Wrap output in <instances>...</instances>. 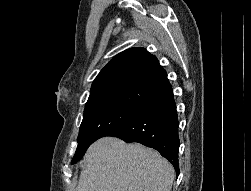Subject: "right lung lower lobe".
Returning <instances> with one entry per match:
<instances>
[{"instance_id":"obj_1","label":"right lung lower lobe","mask_w":251,"mask_h":191,"mask_svg":"<svg viewBox=\"0 0 251 191\" xmlns=\"http://www.w3.org/2000/svg\"><path fill=\"white\" fill-rule=\"evenodd\" d=\"M178 116L172 88L141 108L125 123L109 132L127 143L138 142L156 149L178 168Z\"/></svg>"}]
</instances>
